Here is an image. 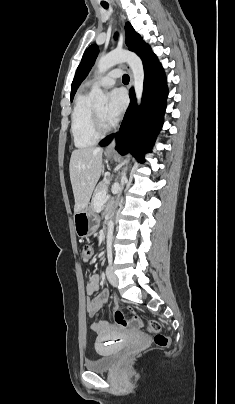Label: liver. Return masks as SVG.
<instances>
[{
	"label": "liver",
	"instance_id": "liver-1",
	"mask_svg": "<svg viewBox=\"0 0 235 404\" xmlns=\"http://www.w3.org/2000/svg\"><path fill=\"white\" fill-rule=\"evenodd\" d=\"M101 148H82L72 152L69 172L74 194V212L88 207L92 192L104 171Z\"/></svg>",
	"mask_w": 235,
	"mask_h": 404
}]
</instances>
